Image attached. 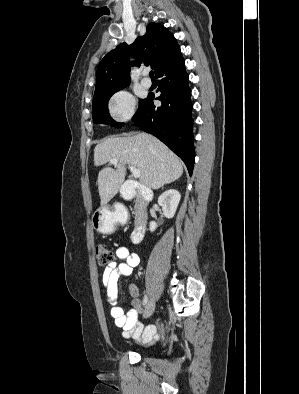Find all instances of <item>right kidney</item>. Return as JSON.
Returning a JSON list of instances; mask_svg holds the SVG:
<instances>
[{
    "label": "right kidney",
    "instance_id": "obj_1",
    "mask_svg": "<svg viewBox=\"0 0 299 394\" xmlns=\"http://www.w3.org/2000/svg\"><path fill=\"white\" fill-rule=\"evenodd\" d=\"M181 199L180 193L175 189H169L162 193L158 198V204L162 207L163 214L166 218L174 217L177 207ZM157 228V223L152 221L149 224V229L153 232Z\"/></svg>",
    "mask_w": 299,
    "mask_h": 394
}]
</instances>
